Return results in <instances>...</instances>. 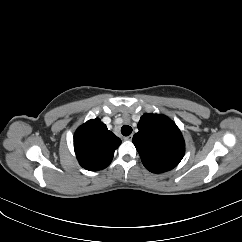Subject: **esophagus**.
<instances>
[{"instance_id":"esophagus-1","label":"esophagus","mask_w":242,"mask_h":242,"mask_svg":"<svg viewBox=\"0 0 242 242\" xmlns=\"http://www.w3.org/2000/svg\"><path fill=\"white\" fill-rule=\"evenodd\" d=\"M132 138H133V135L131 134V135L125 137L124 139L130 141V140H132Z\"/></svg>"}]
</instances>
